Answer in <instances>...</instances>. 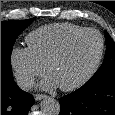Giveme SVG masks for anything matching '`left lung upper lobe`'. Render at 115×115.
<instances>
[{"mask_svg":"<svg viewBox=\"0 0 115 115\" xmlns=\"http://www.w3.org/2000/svg\"><path fill=\"white\" fill-rule=\"evenodd\" d=\"M105 36L107 50L103 64L86 84L115 77V43L107 32H105Z\"/></svg>","mask_w":115,"mask_h":115,"instance_id":"obj_1","label":"left lung upper lobe"}]
</instances>
